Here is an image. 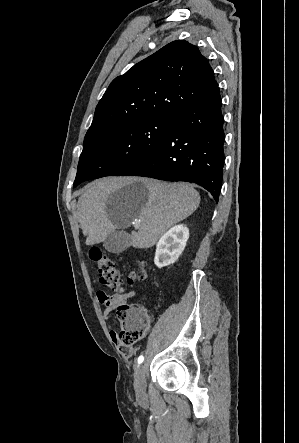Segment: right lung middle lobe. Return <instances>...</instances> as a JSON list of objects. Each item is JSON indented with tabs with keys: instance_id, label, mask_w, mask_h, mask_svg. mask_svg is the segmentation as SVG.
I'll use <instances>...</instances> for the list:
<instances>
[{
	"instance_id": "dd1d6c3e",
	"label": "right lung middle lobe",
	"mask_w": 299,
	"mask_h": 443,
	"mask_svg": "<svg viewBox=\"0 0 299 443\" xmlns=\"http://www.w3.org/2000/svg\"><path fill=\"white\" fill-rule=\"evenodd\" d=\"M172 130L171 117H153L119 124L86 137L73 186L117 175L148 155Z\"/></svg>"
}]
</instances>
